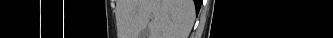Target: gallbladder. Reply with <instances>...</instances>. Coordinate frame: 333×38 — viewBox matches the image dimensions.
Wrapping results in <instances>:
<instances>
[{"instance_id": "1", "label": "gallbladder", "mask_w": 333, "mask_h": 38, "mask_svg": "<svg viewBox=\"0 0 333 38\" xmlns=\"http://www.w3.org/2000/svg\"><path fill=\"white\" fill-rule=\"evenodd\" d=\"M140 38H149L148 28H145V29L142 30V32L140 33Z\"/></svg>"}]
</instances>
